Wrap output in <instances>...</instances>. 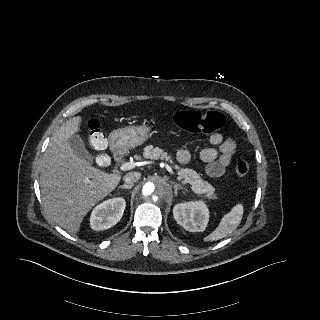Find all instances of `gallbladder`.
<instances>
[{"label":"gallbladder","instance_id":"obj_1","mask_svg":"<svg viewBox=\"0 0 320 320\" xmlns=\"http://www.w3.org/2000/svg\"><path fill=\"white\" fill-rule=\"evenodd\" d=\"M68 144L71 147L73 153L80 159L86 161L87 163H93L94 157L87 150L84 142L79 135L74 134L68 138Z\"/></svg>","mask_w":320,"mask_h":320}]
</instances>
